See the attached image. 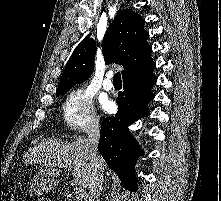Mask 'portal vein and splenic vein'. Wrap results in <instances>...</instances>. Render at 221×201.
I'll use <instances>...</instances> for the list:
<instances>
[{"label": "portal vein and splenic vein", "instance_id": "portal-vein-and-splenic-vein-1", "mask_svg": "<svg viewBox=\"0 0 221 201\" xmlns=\"http://www.w3.org/2000/svg\"><path fill=\"white\" fill-rule=\"evenodd\" d=\"M66 169L68 170V172H72L71 168L66 167ZM84 197V189L81 187H76L75 189V198L77 200H81Z\"/></svg>", "mask_w": 221, "mask_h": 201}]
</instances>
